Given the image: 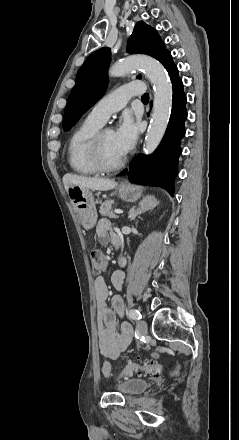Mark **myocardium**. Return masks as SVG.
I'll use <instances>...</instances> for the list:
<instances>
[{
    "label": "myocardium",
    "instance_id": "obj_1",
    "mask_svg": "<svg viewBox=\"0 0 239 440\" xmlns=\"http://www.w3.org/2000/svg\"><path fill=\"white\" fill-rule=\"evenodd\" d=\"M111 130L109 128H99L91 137L88 144V154L91 160V163L94 167L100 172H115L119 170L125 163L127 157L126 155H122L119 157L115 163L108 164L103 156L102 151V137L105 131Z\"/></svg>",
    "mask_w": 239,
    "mask_h": 440
}]
</instances>
